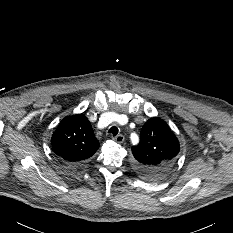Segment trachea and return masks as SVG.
<instances>
[{
    "label": "trachea",
    "mask_w": 233,
    "mask_h": 233,
    "mask_svg": "<svg viewBox=\"0 0 233 233\" xmlns=\"http://www.w3.org/2000/svg\"><path fill=\"white\" fill-rule=\"evenodd\" d=\"M118 128L116 126H113L109 129V133H111L113 136H116L118 134Z\"/></svg>",
    "instance_id": "1"
}]
</instances>
